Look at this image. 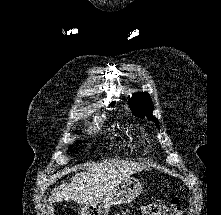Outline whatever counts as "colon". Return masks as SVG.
<instances>
[{"mask_svg": "<svg viewBox=\"0 0 221 215\" xmlns=\"http://www.w3.org/2000/svg\"><path fill=\"white\" fill-rule=\"evenodd\" d=\"M143 212L145 215H186L180 205V199L173 197L170 204L151 203L144 207ZM124 211L122 214L124 215Z\"/></svg>", "mask_w": 221, "mask_h": 215, "instance_id": "1", "label": "colon"}]
</instances>
